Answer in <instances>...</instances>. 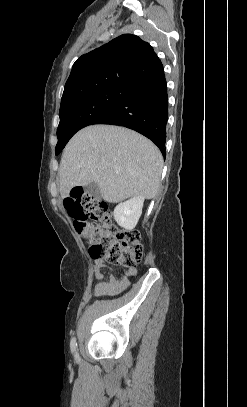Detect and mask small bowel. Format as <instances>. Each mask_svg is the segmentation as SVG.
<instances>
[{"label": "small bowel", "instance_id": "small-bowel-1", "mask_svg": "<svg viewBox=\"0 0 247 407\" xmlns=\"http://www.w3.org/2000/svg\"><path fill=\"white\" fill-rule=\"evenodd\" d=\"M104 268H106V264L102 259L94 261L92 273L97 279L101 280L94 288V294L96 296L113 295L122 292L130 285L131 279L137 274L136 268H130L127 269L125 274L119 279L113 275H109L108 278H105L102 273V269Z\"/></svg>", "mask_w": 247, "mask_h": 407}]
</instances>
